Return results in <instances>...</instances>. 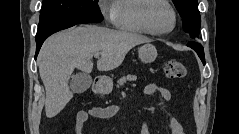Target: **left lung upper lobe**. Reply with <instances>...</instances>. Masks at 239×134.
I'll return each instance as SVG.
<instances>
[{"instance_id":"left-lung-upper-lobe-1","label":"left lung upper lobe","mask_w":239,"mask_h":134,"mask_svg":"<svg viewBox=\"0 0 239 134\" xmlns=\"http://www.w3.org/2000/svg\"><path fill=\"white\" fill-rule=\"evenodd\" d=\"M183 20L184 30L191 37H198L201 18L198 10L197 0H172Z\"/></svg>"}]
</instances>
